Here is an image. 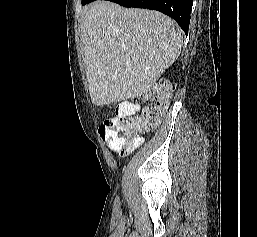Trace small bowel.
<instances>
[{"label": "small bowel", "mask_w": 257, "mask_h": 237, "mask_svg": "<svg viewBox=\"0 0 257 237\" xmlns=\"http://www.w3.org/2000/svg\"><path fill=\"white\" fill-rule=\"evenodd\" d=\"M139 109L138 104L130 101H124L119 104L116 114L121 116H129L134 114ZM143 142L142 137H134L131 141L124 142L123 144H110L109 147L113 151L120 152L122 155L132 153Z\"/></svg>", "instance_id": "c3829d8e"}]
</instances>
